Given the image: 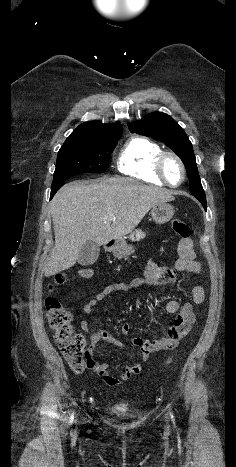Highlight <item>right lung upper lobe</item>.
<instances>
[{"label": "right lung upper lobe", "instance_id": "right-lung-upper-lobe-1", "mask_svg": "<svg viewBox=\"0 0 236 467\" xmlns=\"http://www.w3.org/2000/svg\"><path fill=\"white\" fill-rule=\"evenodd\" d=\"M122 133L121 124H103L99 121L85 122L79 125L72 134H118Z\"/></svg>", "mask_w": 236, "mask_h": 467}]
</instances>
